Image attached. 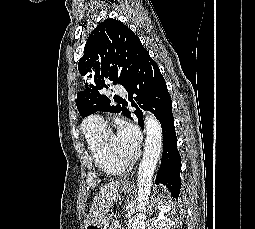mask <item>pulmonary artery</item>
<instances>
[{
    "label": "pulmonary artery",
    "instance_id": "1",
    "mask_svg": "<svg viewBox=\"0 0 255 229\" xmlns=\"http://www.w3.org/2000/svg\"><path fill=\"white\" fill-rule=\"evenodd\" d=\"M126 90L122 86H114V93L125 94ZM87 127H102L104 128L105 123L103 119L98 115H91L87 119Z\"/></svg>",
    "mask_w": 255,
    "mask_h": 229
}]
</instances>
